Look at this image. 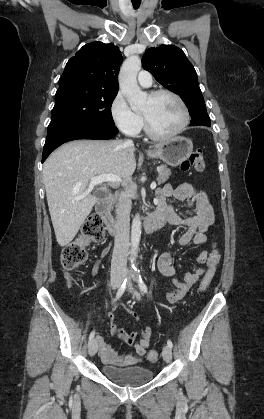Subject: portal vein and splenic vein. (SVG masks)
<instances>
[{"instance_id": "1", "label": "portal vein and splenic vein", "mask_w": 264, "mask_h": 419, "mask_svg": "<svg viewBox=\"0 0 264 419\" xmlns=\"http://www.w3.org/2000/svg\"><path fill=\"white\" fill-rule=\"evenodd\" d=\"M119 183L122 182V179L119 176H116L114 174H104L96 177H92L90 180L89 188L92 189L94 186L104 183ZM151 190H154L156 188V183L153 182L150 186Z\"/></svg>"}]
</instances>
